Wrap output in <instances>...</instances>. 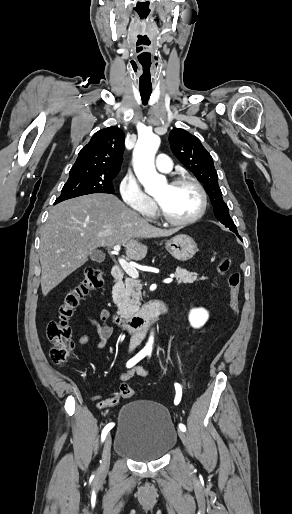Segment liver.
Returning a JSON list of instances; mask_svg holds the SVG:
<instances>
[{"mask_svg": "<svg viewBox=\"0 0 292 514\" xmlns=\"http://www.w3.org/2000/svg\"><path fill=\"white\" fill-rule=\"evenodd\" d=\"M178 232L150 226L112 194H89L54 206L41 230V290L47 296L64 278L88 262L96 248L125 246L130 260H143L147 246L135 238H160Z\"/></svg>", "mask_w": 292, "mask_h": 514, "instance_id": "6515ba94", "label": "liver"}]
</instances>
